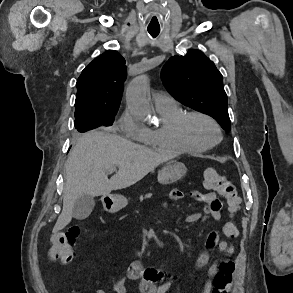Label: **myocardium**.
<instances>
[{
	"mask_svg": "<svg viewBox=\"0 0 293 293\" xmlns=\"http://www.w3.org/2000/svg\"><path fill=\"white\" fill-rule=\"evenodd\" d=\"M193 118H202L210 122L214 126L217 132V135H218L217 139L205 145H200L193 142L190 139L189 133H188L189 122ZM178 134L184 143H186L188 146H190L191 148L197 151H205L210 149L214 145L218 144L222 140V136H223L220 124L212 116L200 111H191V112L184 113V115L180 118L178 122Z\"/></svg>",
	"mask_w": 293,
	"mask_h": 293,
	"instance_id": "f54148a6",
	"label": "myocardium"
}]
</instances>
